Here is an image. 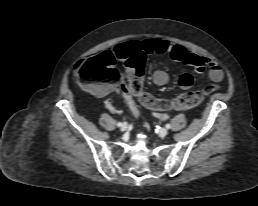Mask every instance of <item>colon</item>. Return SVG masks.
Instances as JSON below:
<instances>
[{"label":"colon","mask_w":258,"mask_h":206,"mask_svg":"<svg viewBox=\"0 0 258 206\" xmlns=\"http://www.w3.org/2000/svg\"><path fill=\"white\" fill-rule=\"evenodd\" d=\"M124 73L127 77L122 83L126 101L135 115H138L136 99L147 108L158 112L184 110L198 106L206 94L216 90L218 86H208L203 92L191 91L179 95L169 101L154 98L143 89L144 57L137 55L126 61ZM75 76L78 82L93 89L100 84H114L121 80L122 72L115 66L114 57L106 52L75 65Z\"/></svg>","instance_id":"colon-1"}]
</instances>
